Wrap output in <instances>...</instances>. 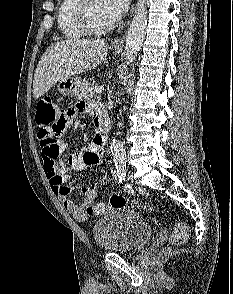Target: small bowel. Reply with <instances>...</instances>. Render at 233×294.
<instances>
[{
  "mask_svg": "<svg viewBox=\"0 0 233 294\" xmlns=\"http://www.w3.org/2000/svg\"><path fill=\"white\" fill-rule=\"evenodd\" d=\"M97 104L93 102H80L72 104V108H58V120L50 123L49 131L38 132L42 147L43 167L49 180L52 191L58 196L63 207L77 220L85 221L92 215L88 209L93 206L99 188L106 181V177L90 186H81L79 191L85 197L81 205H77L70 199L69 180L71 171H80L90 166L98 165L103 161V143L95 137L93 141L76 152H65L68 143L65 137L71 134L69 126H75V119L79 115H91L94 121V108ZM41 137H54L53 143H45ZM66 157V158H64Z\"/></svg>",
  "mask_w": 233,
  "mask_h": 294,
  "instance_id": "c3829d8e",
  "label": "small bowel"
}]
</instances>
